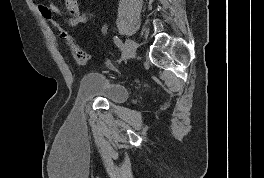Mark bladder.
Returning a JSON list of instances; mask_svg holds the SVG:
<instances>
[{
	"label": "bladder",
	"mask_w": 264,
	"mask_h": 178,
	"mask_svg": "<svg viewBox=\"0 0 264 178\" xmlns=\"http://www.w3.org/2000/svg\"><path fill=\"white\" fill-rule=\"evenodd\" d=\"M125 85L114 81L101 72L85 74L79 83V96L83 99L102 98L110 102L122 104L128 99Z\"/></svg>",
	"instance_id": "31cf9c89"
}]
</instances>
